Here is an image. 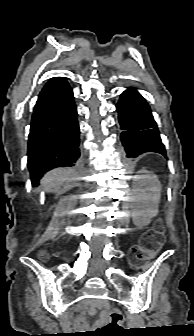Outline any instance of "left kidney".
<instances>
[{
    "mask_svg": "<svg viewBox=\"0 0 194 336\" xmlns=\"http://www.w3.org/2000/svg\"><path fill=\"white\" fill-rule=\"evenodd\" d=\"M139 173L133 177L131 216L137 226H145L158 213L161 184L152 172L140 170Z\"/></svg>",
    "mask_w": 194,
    "mask_h": 336,
    "instance_id": "5707ae66",
    "label": "left kidney"
}]
</instances>
